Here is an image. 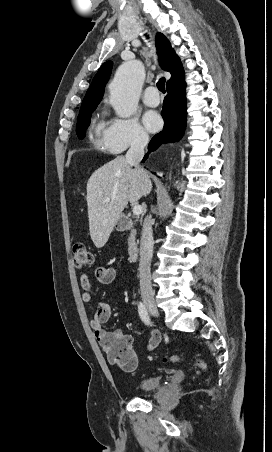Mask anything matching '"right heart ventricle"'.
<instances>
[{"mask_svg":"<svg viewBox=\"0 0 272 452\" xmlns=\"http://www.w3.org/2000/svg\"><path fill=\"white\" fill-rule=\"evenodd\" d=\"M106 131L107 128L105 126V122L103 120H99L93 128L96 144L103 145V138L105 136Z\"/></svg>","mask_w":272,"mask_h":452,"instance_id":"1","label":"right heart ventricle"}]
</instances>
